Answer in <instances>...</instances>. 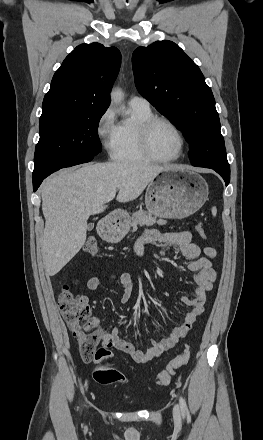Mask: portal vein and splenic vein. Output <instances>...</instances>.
<instances>
[{"mask_svg": "<svg viewBox=\"0 0 263 440\" xmlns=\"http://www.w3.org/2000/svg\"><path fill=\"white\" fill-rule=\"evenodd\" d=\"M115 195H116V191H113L112 193H110V194L106 197V201L109 202V201L113 200L114 197H115Z\"/></svg>", "mask_w": 263, "mask_h": 440, "instance_id": "portal-vein-and-splenic-vein-1", "label": "portal vein and splenic vein"}]
</instances>
